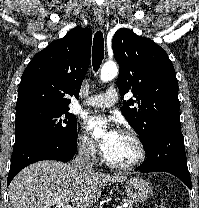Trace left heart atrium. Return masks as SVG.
<instances>
[{
	"mask_svg": "<svg viewBox=\"0 0 199 208\" xmlns=\"http://www.w3.org/2000/svg\"><path fill=\"white\" fill-rule=\"evenodd\" d=\"M103 126L108 127L107 134L100 144L103 152L105 153L109 150L115 139L120 134L119 130L116 127L115 120L113 118H106L98 114L90 115L85 120V128L88 131H93L94 129Z\"/></svg>",
	"mask_w": 199,
	"mask_h": 208,
	"instance_id": "39dd6f15",
	"label": "left heart atrium"
}]
</instances>
